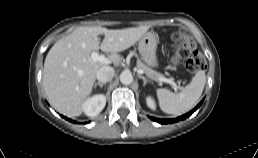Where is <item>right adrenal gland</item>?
<instances>
[{"mask_svg":"<svg viewBox=\"0 0 258 158\" xmlns=\"http://www.w3.org/2000/svg\"><path fill=\"white\" fill-rule=\"evenodd\" d=\"M104 85H106V83H100V82H98V83H96V84L94 85V88L96 89L98 86H99L100 88H102Z\"/></svg>","mask_w":258,"mask_h":158,"instance_id":"right-adrenal-gland-1","label":"right adrenal gland"}]
</instances>
